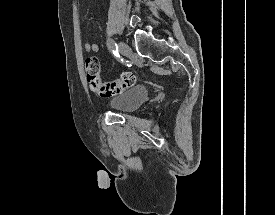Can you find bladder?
<instances>
[{"mask_svg": "<svg viewBox=\"0 0 275 215\" xmlns=\"http://www.w3.org/2000/svg\"><path fill=\"white\" fill-rule=\"evenodd\" d=\"M147 99L144 86H137L124 92L115 94L110 101V106L118 113H129L137 109Z\"/></svg>", "mask_w": 275, "mask_h": 215, "instance_id": "obj_1", "label": "bladder"}]
</instances>
